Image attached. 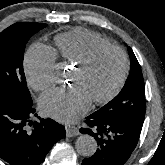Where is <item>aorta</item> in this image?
I'll use <instances>...</instances> for the list:
<instances>
[{
    "label": "aorta",
    "instance_id": "762f6f07",
    "mask_svg": "<svg viewBox=\"0 0 165 165\" xmlns=\"http://www.w3.org/2000/svg\"><path fill=\"white\" fill-rule=\"evenodd\" d=\"M75 148L80 155L90 157L97 150V142L94 137L88 134H82L77 138Z\"/></svg>",
    "mask_w": 165,
    "mask_h": 165
}]
</instances>
